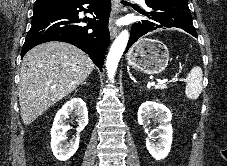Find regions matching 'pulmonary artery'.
<instances>
[{
  "mask_svg": "<svg viewBox=\"0 0 227 166\" xmlns=\"http://www.w3.org/2000/svg\"><path fill=\"white\" fill-rule=\"evenodd\" d=\"M136 1H138L142 6L146 7L145 0H136Z\"/></svg>",
  "mask_w": 227,
  "mask_h": 166,
  "instance_id": "obj_1",
  "label": "pulmonary artery"
}]
</instances>
